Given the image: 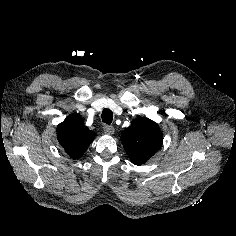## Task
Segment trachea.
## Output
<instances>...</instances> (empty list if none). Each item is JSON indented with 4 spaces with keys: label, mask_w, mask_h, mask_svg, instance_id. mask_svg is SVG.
<instances>
[{
    "label": "trachea",
    "mask_w": 236,
    "mask_h": 236,
    "mask_svg": "<svg viewBox=\"0 0 236 236\" xmlns=\"http://www.w3.org/2000/svg\"><path fill=\"white\" fill-rule=\"evenodd\" d=\"M102 121L106 124H111L113 120V112L110 109H104L102 111Z\"/></svg>",
    "instance_id": "obj_1"
}]
</instances>
